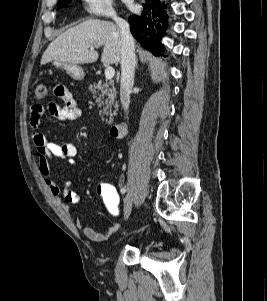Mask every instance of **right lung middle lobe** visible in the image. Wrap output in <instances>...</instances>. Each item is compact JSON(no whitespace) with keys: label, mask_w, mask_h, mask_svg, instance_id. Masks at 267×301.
<instances>
[{"label":"right lung middle lobe","mask_w":267,"mask_h":301,"mask_svg":"<svg viewBox=\"0 0 267 301\" xmlns=\"http://www.w3.org/2000/svg\"><path fill=\"white\" fill-rule=\"evenodd\" d=\"M72 0H59L57 5L58 6H62L65 7L66 5H68Z\"/></svg>","instance_id":"1"}]
</instances>
